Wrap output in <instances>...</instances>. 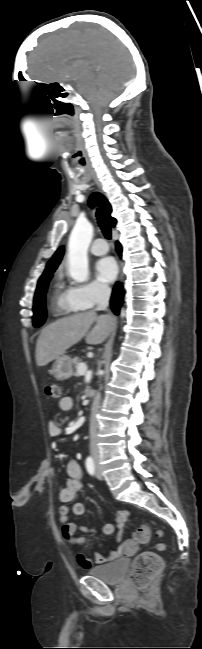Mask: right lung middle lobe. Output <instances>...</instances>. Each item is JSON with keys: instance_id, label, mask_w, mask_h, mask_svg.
Returning <instances> with one entry per match:
<instances>
[{"instance_id": "dd1d6c3e", "label": "right lung middle lobe", "mask_w": 202, "mask_h": 649, "mask_svg": "<svg viewBox=\"0 0 202 649\" xmlns=\"http://www.w3.org/2000/svg\"><path fill=\"white\" fill-rule=\"evenodd\" d=\"M53 272H50L46 275H43L38 280L34 301H33V325L34 327H40L44 324L47 314L45 306V295L48 288V283L52 278Z\"/></svg>"}]
</instances>
